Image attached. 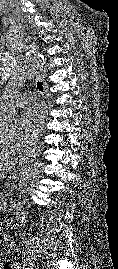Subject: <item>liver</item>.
I'll return each instance as SVG.
<instances>
[{"label":"liver","instance_id":"obj_1","mask_svg":"<svg viewBox=\"0 0 118 269\" xmlns=\"http://www.w3.org/2000/svg\"><path fill=\"white\" fill-rule=\"evenodd\" d=\"M17 162L18 160L16 158H10L7 156L0 157V171L11 170L17 164Z\"/></svg>","mask_w":118,"mask_h":269}]
</instances>
